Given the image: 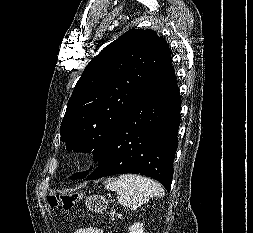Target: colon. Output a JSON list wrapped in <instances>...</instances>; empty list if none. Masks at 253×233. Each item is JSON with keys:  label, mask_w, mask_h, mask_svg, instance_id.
<instances>
[{"label": "colon", "mask_w": 253, "mask_h": 233, "mask_svg": "<svg viewBox=\"0 0 253 233\" xmlns=\"http://www.w3.org/2000/svg\"><path fill=\"white\" fill-rule=\"evenodd\" d=\"M80 196L76 193L62 194V195H49L48 203L53 209L60 211L71 210L79 201Z\"/></svg>", "instance_id": "obj_1"}]
</instances>
